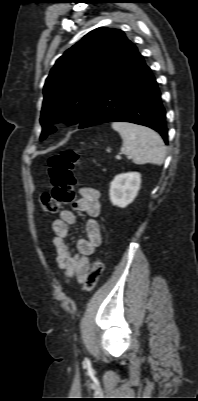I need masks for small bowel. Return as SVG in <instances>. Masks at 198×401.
<instances>
[{"label":"small bowel","mask_w":198,"mask_h":401,"mask_svg":"<svg viewBox=\"0 0 198 401\" xmlns=\"http://www.w3.org/2000/svg\"><path fill=\"white\" fill-rule=\"evenodd\" d=\"M80 197L73 203L71 209L61 211L59 218L52 223L53 245L55 246L56 261L59 268L65 271L68 277L75 276L79 282L87 280L90 263L89 256L94 253L102 243V234L96 218L100 214V193L98 190L82 187ZM76 214L89 217L86 223V238L76 243V252L69 249V229L76 223Z\"/></svg>","instance_id":"obj_1"}]
</instances>
